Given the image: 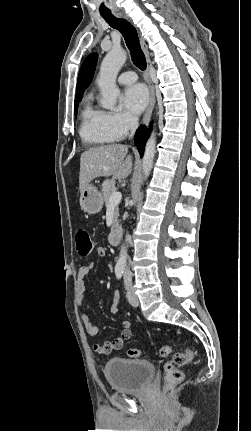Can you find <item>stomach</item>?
<instances>
[{
  "label": "stomach",
  "mask_w": 251,
  "mask_h": 431,
  "mask_svg": "<svg viewBox=\"0 0 251 431\" xmlns=\"http://www.w3.org/2000/svg\"><path fill=\"white\" fill-rule=\"evenodd\" d=\"M103 195L92 184H89L80 196V206L88 214H97L103 207Z\"/></svg>",
  "instance_id": "0dacf381"
}]
</instances>
